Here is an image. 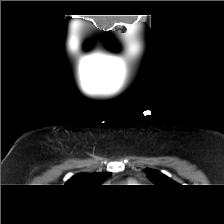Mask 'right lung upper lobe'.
Here are the masks:
<instances>
[{
  "label": "right lung upper lobe",
  "instance_id": "right-lung-upper-lobe-1",
  "mask_svg": "<svg viewBox=\"0 0 224 224\" xmlns=\"http://www.w3.org/2000/svg\"><path fill=\"white\" fill-rule=\"evenodd\" d=\"M111 173H82L73 176L67 181V185L73 187H88L102 184Z\"/></svg>",
  "mask_w": 224,
  "mask_h": 224
}]
</instances>
